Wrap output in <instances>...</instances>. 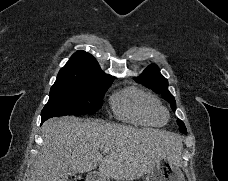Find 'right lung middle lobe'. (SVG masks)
<instances>
[{
    "mask_svg": "<svg viewBox=\"0 0 228 181\" xmlns=\"http://www.w3.org/2000/svg\"><path fill=\"white\" fill-rule=\"evenodd\" d=\"M112 82L55 83L50 90L49 101L41 112L42 122L54 116L95 113L102 107L104 93Z\"/></svg>",
    "mask_w": 228,
    "mask_h": 181,
    "instance_id": "obj_1",
    "label": "right lung middle lobe"
}]
</instances>
